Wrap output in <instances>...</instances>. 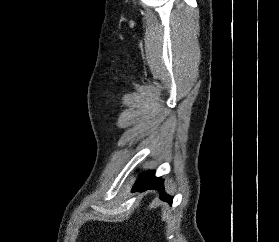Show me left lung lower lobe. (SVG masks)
<instances>
[{
	"label": "left lung lower lobe",
	"mask_w": 279,
	"mask_h": 242,
	"mask_svg": "<svg viewBox=\"0 0 279 242\" xmlns=\"http://www.w3.org/2000/svg\"><path fill=\"white\" fill-rule=\"evenodd\" d=\"M147 189H163V181L160 178H156L153 171H149L140 176L132 191H144ZM161 198L170 204L172 203V197L170 196L163 194Z\"/></svg>",
	"instance_id": "left-lung-lower-lobe-1"
}]
</instances>
